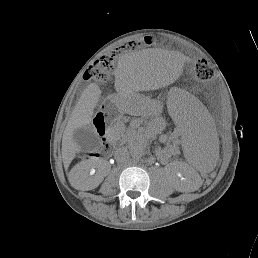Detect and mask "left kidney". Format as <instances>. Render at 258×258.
I'll use <instances>...</instances> for the list:
<instances>
[{
  "label": "left kidney",
  "instance_id": "obj_1",
  "mask_svg": "<svg viewBox=\"0 0 258 258\" xmlns=\"http://www.w3.org/2000/svg\"><path fill=\"white\" fill-rule=\"evenodd\" d=\"M184 176L183 180H178L175 183V189L179 192H192L195 190L194 173H191L189 168L184 167L181 173Z\"/></svg>",
  "mask_w": 258,
  "mask_h": 258
}]
</instances>
